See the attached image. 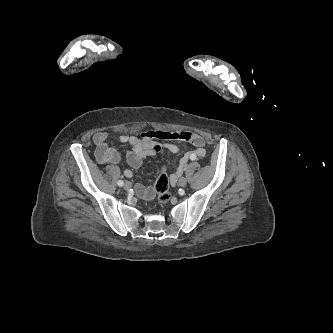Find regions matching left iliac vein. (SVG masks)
Masks as SVG:
<instances>
[{"mask_svg": "<svg viewBox=\"0 0 333 333\" xmlns=\"http://www.w3.org/2000/svg\"><path fill=\"white\" fill-rule=\"evenodd\" d=\"M178 184H179V186H181V187L186 186V184H187V179H186L185 177H180L179 180H178Z\"/></svg>", "mask_w": 333, "mask_h": 333, "instance_id": "4c4485c4", "label": "left iliac vein"}]
</instances>
